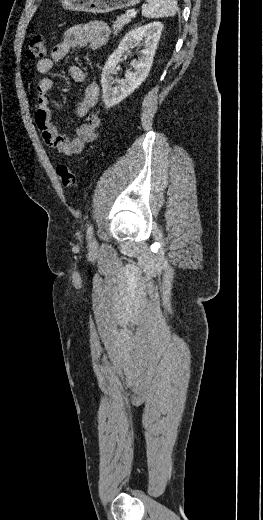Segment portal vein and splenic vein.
<instances>
[{"label":"portal vein and splenic vein","instance_id":"1","mask_svg":"<svg viewBox=\"0 0 263 520\" xmlns=\"http://www.w3.org/2000/svg\"><path fill=\"white\" fill-rule=\"evenodd\" d=\"M136 14H137L136 10H131L129 13H127L128 16H135Z\"/></svg>","mask_w":263,"mask_h":520}]
</instances>
